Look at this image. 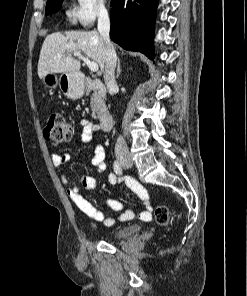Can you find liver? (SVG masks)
I'll return each instance as SVG.
<instances>
[{"label": "liver", "instance_id": "6515ba94", "mask_svg": "<svg viewBox=\"0 0 247 296\" xmlns=\"http://www.w3.org/2000/svg\"><path fill=\"white\" fill-rule=\"evenodd\" d=\"M84 53L94 60L101 71L105 68V44L97 31H68L47 35L40 51L38 76L42 79L48 73H78L79 60L72 57Z\"/></svg>", "mask_w": 247, "mask_h": 296}]
</instances>
